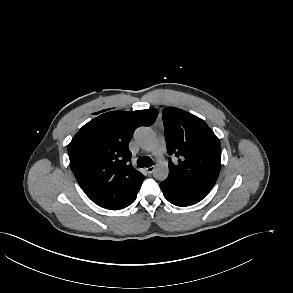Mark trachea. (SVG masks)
I'll list each match as a JSON object with an SVG mask.
<instances>
[{
    "label": "trachea",
    "mask_w": 293,
    "mask_h": 293,
    "mask_svg": "<svg viewBox=\"0 0 293 293\" xmlns=\"http://www.w3.org/2000/svg\"><path fill=\"white\" fill-rule=\"evenodd\" d=\"M137 165L141 168L143 167H150L152 165V160L150 157H140L137 159Z\"/></svg>",
    "instance_id": "1"
}]
</instances>
